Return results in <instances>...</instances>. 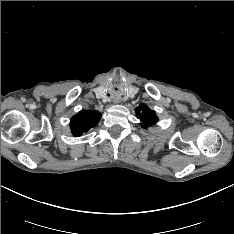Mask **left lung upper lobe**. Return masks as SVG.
<instances>
[{
  "mask_svg": "<svg viewBox=\"0 0 234 234\" xmlns=\"http://www.w3.org/2000/svg\"><path fill=\"white\" fill-rule=\"evenodd\" d=\"M137 117L143 122V127L147 128L155 124L158 121V118L154 111H151L147 106L140 105L136 108Z\"/></svg>",
  "mask_w": 234,
  "mask_h": 234,
  "instance_id": "left-lung-upper-lobe-1",
  "label": "left lung upper lobe"
}]
</instances>
